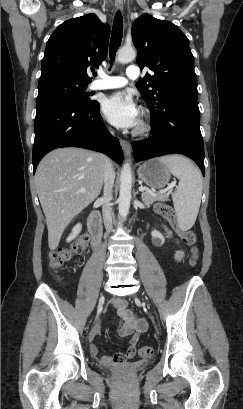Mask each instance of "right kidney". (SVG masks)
<instances>
[{
  "instance_id": "obj_1",
  "label": "right kidney",
  "mask_w": 243,
  "mask_h": 409,
  "mask_svg": "<svg viewBox=\"0 0 243 409\" xmlns=\"http://www.w3.org/2000/svg\"><path fill=\"white\" fill-rule=\"evenodd\" d=\"M81 230H82V224L80 223L76 224L72 229V233L67 238V242L72 241L81 232Z\"/></svg>"
}]
</instances>
